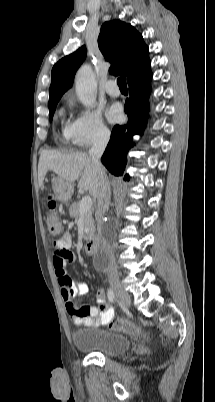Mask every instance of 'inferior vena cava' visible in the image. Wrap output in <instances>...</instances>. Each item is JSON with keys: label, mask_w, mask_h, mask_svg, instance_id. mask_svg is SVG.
Masks as SVG:
<instances>
[{"label": "inferior vena cava", "mask_w": 215, "mask_h": 402, "mask_svg": "<svg viewBox=\"0 0 215 402\" xmlns=\"http://www.w3.org/2000/svg\"><path fill=\"white\" fill-rule=\"evenodd\" d=\"M109 138V131L102 132L94 142L92 148L89 150V157L91 158L95 171L98 175L96 219L98 223V230L102 237V249L104 252H106L108 257L107 276L110 283H118L119 276L117 264L114 254L110 250V247L104 237V235L107 233V230L104 228L103 223L104 214L108 210L110 204L111 190L110 183L108 181L105 169L100 162V158L106 148Z\"/></svg>", "instance_id": "1"}]
</instances>
